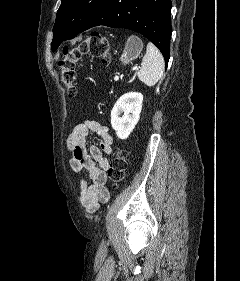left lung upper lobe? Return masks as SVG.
<instances>
[{
    "mask_svg": "<svg viewBox=\"0 0 240 281\" xmlns=\"http://www.w3.org/2000/svg\"><path fill=\"white\" fill-rule=\"evenodd\" d=\"M104 0H62L53 27L51 49L54 52L67 39L74 38L98 10Z\"/></svg>",
    "mask_w": 240,
    "mask_h": 281,
    "instance_id": "left-lung-upper-lobe-1",
    "label": "left lung upper lobe"
}]
</instances>
